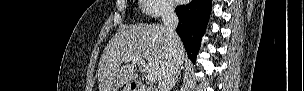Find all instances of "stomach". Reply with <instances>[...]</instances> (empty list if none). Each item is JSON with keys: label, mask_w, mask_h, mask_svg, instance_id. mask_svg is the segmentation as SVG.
<instances>
[{"label": "stomach", "mask_w": 304, "mask_h": 91, "mask_svg": "<svg viewBox=\"0 0 304 91\" xmlns=\"http://www.w3.org/2000/svg\"><path fill=\"white\" fill-rule=\"evenodd\" d=\"M124 91H129V89H128V88H126Z\"/></svg>", "instance_id": "1"}]
</instances>
